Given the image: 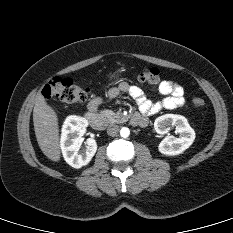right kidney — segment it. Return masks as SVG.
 I'll list each match as a JSON object with an SVG mask.
<instances>
[{
  "instance_id": "ca27d5eb",
  "label": "right kidney",
  "mask_w": 233,
  "mask_h": 233,
  "mask_svg": "<svg viewBox=\"0 0 233 233\" xmlns=\"http://www.w3.org/2000/svg\"><path fill=\"white\" fill-rule=\"evenodd\" d=\"M88 126V121L79 116L71 115L62 126L60 147L65 161L73 168L87 165L97 151V143L88 138L85 147L80 150L82 143L81 132Z\"/></svg>"
}]
</instances>
